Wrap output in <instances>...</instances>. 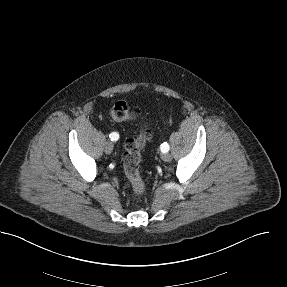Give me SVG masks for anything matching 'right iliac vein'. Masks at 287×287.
I'll use <instances>...</instances> for the list:
<instances>
[{"instance_id": "63e3f726", "label": "right iliac vein", "mask_w": 287, "mask_h": 287, "mask_svg": "<svg viewBox=\"0 0 287 287\" xmlns=\"http://www.w3.org/2000/svg\"><path fill=\"white\" fill-rule=\"evenodd\" d=\"M104 151L106 154H110L113 151V144L111 142H106Z\"/></svg>"}]
</instances>
